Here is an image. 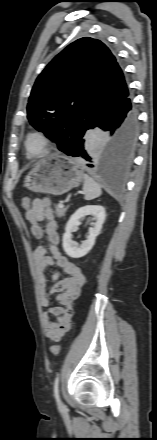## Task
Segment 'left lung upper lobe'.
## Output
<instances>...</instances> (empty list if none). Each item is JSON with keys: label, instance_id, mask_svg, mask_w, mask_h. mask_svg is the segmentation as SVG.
<instances>
[{"label": "left lung upper lobe", "instance_id": "1", "mask_svg": "<svg viewBox=\"0 0 157 440\" xmlns=\"http://www.w3.org/2000/svg\"><path fill=\"white\" fill-rule=\"evenodd\" d=\"M128 92L124 74L108 47L84 37L68 45L38 76L27 118L66 153L106 107Z\"/></svg>", "mask_w": 157, "mask_h": 440}]
</instances>
